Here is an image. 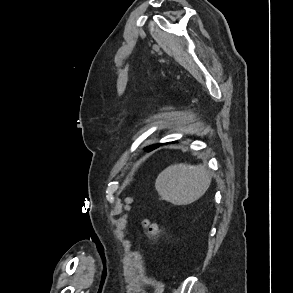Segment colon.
Here are the masks:
<instances>
[{
	"label": "colon",
	"mask_w": 293,
	"mask_h": 293,
	"mask_svg": "<svg viewBox=\"0 0 293 293\" xmlns=\"http://www.w3.org/2000/svg\"><path fill=\"white\" fill-rule=\"evenodd\" d=\"M126 203H127V208H128L132 203V199L128 198L126 200ZM143 226H144V230H145L146 235H148V237L153 239L155 237V235L157 234V226L153 222H151L150 220H144Z\"/></svg>",
	"instance_id": "5ec220e1"
}]
</instances>
